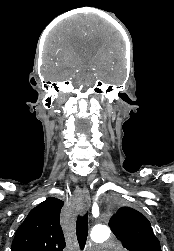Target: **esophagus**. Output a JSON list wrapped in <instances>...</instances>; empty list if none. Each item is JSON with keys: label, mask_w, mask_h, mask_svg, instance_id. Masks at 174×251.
Returning <instances> with one entry per match:
<instances>
[{"label": "esophagus", "mask_w": 174, "mask_h": 251, "mask_svg": "<svg viewBox=\"0 0 174 251\" xmlns=\"http://www.w3.org/2000/svg\"><path fill=\"white\" fill-rule=\"evenodd\" d=\"M81 203L84 210L88 209L91 203L89 190L86 187H84L81 191Z\"/></svg>", "instance_id": "1"}]
</instances>
